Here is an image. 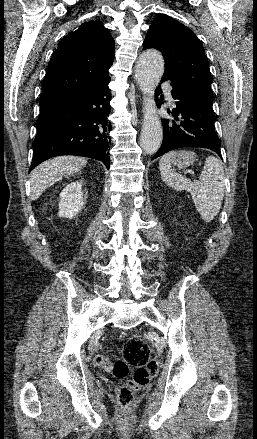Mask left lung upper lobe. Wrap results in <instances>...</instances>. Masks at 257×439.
Here are the masks:
<instances>
[{
    "mask_svg": "<svg viewBox=\"0 0 257 439\" xmlns=\"http://www.w3.org/2000/svg\"><path fill=\"white\" fill-rule=\"evenodd\" d=\"M144 49H158L165 61L164 77L185 86L212 105V76L204 48L195 34L175 19L160 14L152 22Z\"/></svg>",
    "mask_w": 257,
    "mask_h": 439,
    "instance_id": "1",
    "label": "left lung upper lobe"
}]
</instances>
